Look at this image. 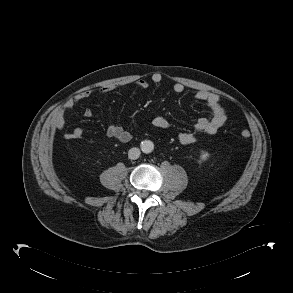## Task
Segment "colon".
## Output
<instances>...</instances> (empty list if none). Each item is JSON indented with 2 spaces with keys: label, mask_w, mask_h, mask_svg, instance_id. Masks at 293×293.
<instances>
[{
  "label": "colon",
  "mask_w": 293,
  "mask_h": 293,
  "mask_svg": "<svg viewBox=\"0 0 293 293\" xmlns=\"http://www.w3.org/2000/svg\"><path fill=\"white\" fill-rule=\"evenodd\" d=\"M240 135L242 139H248L250 137V132L248 130H243Z\"/></svg>",
  "instance_id": "colon-1"
}]
</instances>
